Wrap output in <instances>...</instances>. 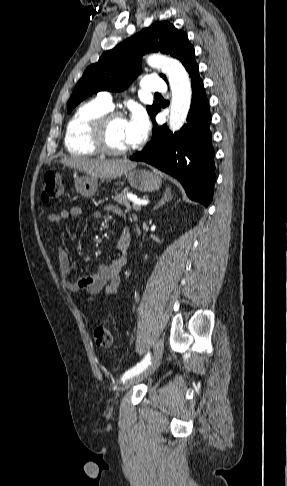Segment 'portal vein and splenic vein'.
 Segmentation results:
<instances>
[{"mask_svg": "<svg viewBox=\"0 0 287 486\" xmlns=\"http://www.w3.org/2000/svg\"><path fill=\"white\" fill-rule=\"evenodd\" d=\"M130 199L132 200V203L134 206L141 207L147 204V202L133 198L132 196H129Z\"/></svg>", "mask_w": 287, "mask_h": 486, "instance_id": "18ae733b", "label": "portal vein and splenic vein"}]
</instances>
